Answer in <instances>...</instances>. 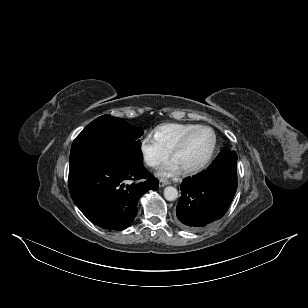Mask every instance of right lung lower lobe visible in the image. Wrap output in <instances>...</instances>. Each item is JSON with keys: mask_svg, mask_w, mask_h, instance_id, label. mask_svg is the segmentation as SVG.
Returning <instances> with one entry per match:
<instances>
[{"mask_svg": "<svg viewBox=\"0 0 308 308\" xmlns=\"http://www.w3.org/2000/svg\"><path fill=\"white\" fill-rule=\"evenodd\" d=\"M147 178L138 184L129 181ZM69 191L81 212L95 225L126 229L134 220L139 198L158 188L143 164L81 162L69 165Z\"/></svg>", "mask_w": 308, "mask_h": 308, "instance_id": "obj_1", "label": "right lung lower lobe"}]
</instances>
